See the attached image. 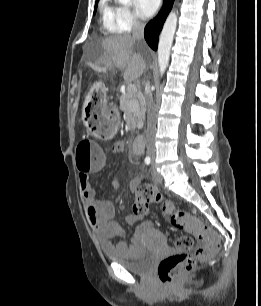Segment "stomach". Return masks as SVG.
I'll return each instance as SVG.
<instances>
[{"label": "stomach", "mask_w": 261, "mask_h": 306, "mask_svg": "<svg viewBox=\"0 0 261 306\" xmlns=\"http://www.w3.org/2000/svg\"><path fill=\"white\" fill-rule=\"evenodd\" d=\"M82 121L87 129L98 137H100V127L103 123L114 122L108 110L104 88H94L85 98L82 108Z\"/></svg>", "instance_id": "obj_1"}]
</instances>
